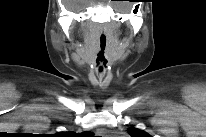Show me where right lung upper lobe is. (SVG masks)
<instances>
[{"label":"right lung upper lobe","mask_w":206,"mask_h":137,"mask_svg":"<svg viewBox=\"0 0 206 137\" xmlns=\"http://www.w3.org/2000/svg\"><path fill=\"white\" fill-rule=\"evenodd\" d=\"M60 134H62V135H64V136H65L66 134H70V133H63V132H62V133H60Z\"/></svg>","instance_id":"right-lung-upper-lobe-1"}]
</instances>
